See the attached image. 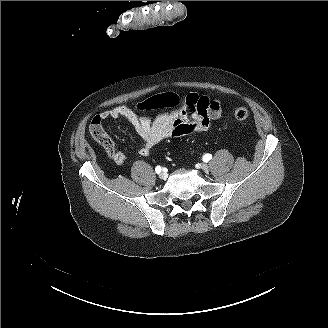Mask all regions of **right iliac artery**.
Instances as JSON below:
<instances>
[{
	"mask_svg": "<svg viewBox=\"0 0 328 328\" xmlns=\"http://www.w3.org/2000/svg\"><path fill=\"white\" fill-rule=\"evenodd\" d=\"M161 170H162V169H161L160 166H157V167L155 168V171H156L157 174H159V173L161 172Z\"/></svg>",
	"mask_w": 328,
	"mask_h": 328,
	"instance_id": "obj_1",
	"label": "right iliac artery"
}]
</instances>
